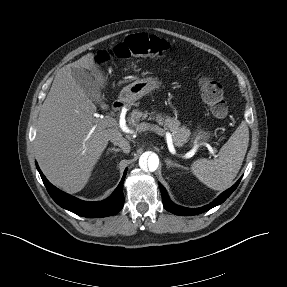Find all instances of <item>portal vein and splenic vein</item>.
Returning <instances> with one entry per match:
<instances>
[{
    "label": "portal vein and splenic vein",
    "instance_id": "portal-vein-and-splenic-vein-1",
    "mask_svg": "<svg viewBox=\"0 0 287 287\" xmlns=\"http://www.w3.org/2000/svg\"><path fill=\"white\" fill-rule=\"evenodd\" d=\"M96 125H98L99 127L102 128H106V127H120L122 129L123 132L126 133H131V131L128 129V127L125 125L124 122L121 121H117L116 119L110 117V116H105L104 118L98 119L96 121ZM96 126H94L91 130V133L95 130ZM141 130H150L155 132L156 134L160 135V136H164L167 140V143L169 146L173 145V139H172V135L171 133L165 131L164 129H162L161 127L154 125V124H149V123H142L140 126ZM208 149L211 152V154L214 156V149L208 145Z\"/></svg>",
    "mask_w": 287,
    "mask_h": 287
}]
</instances>
